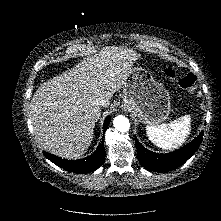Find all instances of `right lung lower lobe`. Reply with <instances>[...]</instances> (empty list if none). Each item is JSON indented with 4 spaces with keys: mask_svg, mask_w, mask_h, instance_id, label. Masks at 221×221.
I'll return each mask as SVG.
<instances>
[{
    "mask_svg": "<svg viewBox=\"0 0 221 221\" xmlns=\"http://www.w3.org/2000/svg\"><path fill=\"white\" fill-rule=\"evenodd\" d=\"M110 116H108L104 121L103 132L105 133L106 128L110 123ZM44 156L49 159L54 164L58 165L59 167L74 173L85 174L92 172L98 169L105 160V149L103 144H99L97 150L90 156L80 159V160H66L54 156L50 153L43 152Z\"/></svg>",
    "mask_w": 221,
    "mask_h": 221,
    "instance_id": "98d812e1",
    "label": "right lung lower lobe"
}]
</instances>
